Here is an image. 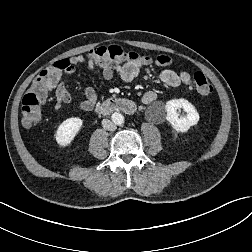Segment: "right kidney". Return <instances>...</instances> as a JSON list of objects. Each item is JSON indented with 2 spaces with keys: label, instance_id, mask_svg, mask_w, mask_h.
I'll return each mask as SVG.
<instances>
[{
  "label": "right kidney",
  "instance_id": "1",
  "mask_svg": "<svg viewBox=\"0 0 252 252\" xmlns=\"http://www.w3.org/2000/svg\"><path fill=\"white\" fill-rule=\"evenodd\" d=\"M83 125V121L78 118H69L59 125L55 134L56 142L61 146L69 145L77 135Z\"/></svg>",
  "mask_w": 252,
  "mask_h": 252
}]
</instances>
